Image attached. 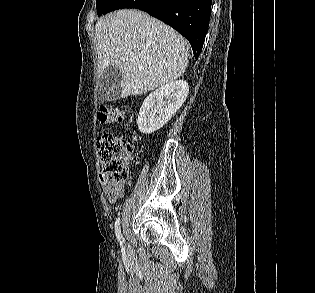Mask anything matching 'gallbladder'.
Returning <instances> with one entry per match:
<instances>
[{
  "label": "gallbladder",
  "mask_w": 315,
  "mask_h": 293,
  "mask_svg": "<svg viewBox=\"0 0 315 293\" xmlns=\"http://www.w3.org/2000/svg\"><path fill=\"white\" fill-rule=\"evenodd\" d=\"M101 100L115 101L121 96L122 73L115 65L104 69L100 77Z\"/></svg>",
  "instance_id": "gallbladder-1"
}]
</instances>
